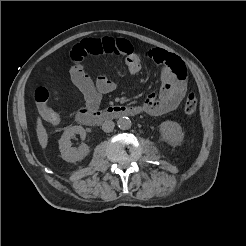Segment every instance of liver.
I'll use <instances>...</instances> for the list:
<instances>
[{
  "label": "liver",
  "mask_w": 246,
  "mask_h": 246,
  "mask_svg": "<svg viewBox=\"0 0 246 246\" xmlns=\"http://www.w3.org/2000/svg\"><path fill=\"white\" fill-rule=\"evenodd\" d=\"M36 133L40 146L45 149L48 144V134L45 127L42 124V120L40 117L37 118L36 122Z\"/></svg>",
  "instance_id": "1"
}]
</instances>
